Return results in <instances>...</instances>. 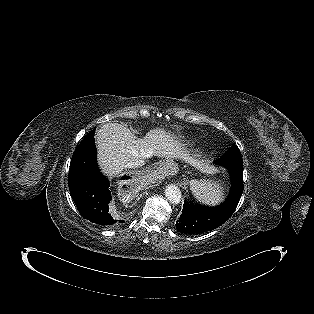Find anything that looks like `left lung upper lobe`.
<instances>
[{
	"instance_id": "1",
	"label": "left lung upper lobe",
	"mask_w": 314,
	"mask_h": 314,
	"mask_svg": "<svg viewBox=\"0 0 314 314\" xmlns=\"http://www.w3.org/2000/svg\"><path fill=\"white\" fill-rule=\"evenodd\" d=\"M215 163L224 167H242L243 161L240 150L236 145H232L220 159L215 161Z\"/></svg>"
}]
</instances>
